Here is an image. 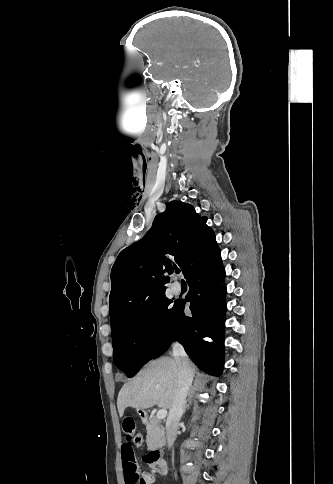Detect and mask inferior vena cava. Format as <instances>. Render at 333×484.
<instances>
[{
	"instance_id": "1",
	"label": "inferior vena cava",
	"mask_w": 333,
	"mask_h": 484,
	"mask_svg": "<svg viewBox=\"0 0 333 484\" xmlns=\"http://www.w3.org/2000/svg\"><path fill=\"white\" fill-rule=\"evenodd\" d=\"M172 352L178 364L179 374L178 388L166 421V435L169 448L176 439L178 424L184 412L186 397L193 379L191 362L183 346L178 342L173 343Z\"/></svg>"
}]
</instances>
